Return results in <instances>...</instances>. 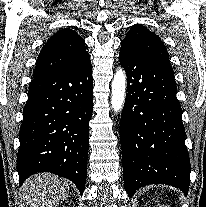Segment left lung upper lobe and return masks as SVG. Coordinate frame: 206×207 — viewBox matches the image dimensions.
Listing matches in <instances>:
<instances>
[{
    "instance_id": "5c2ea615",
    "label": "left lung upper lobe",
    "mask_w": 206,
    "mask_h": 207,
    "mask_svg": "<svg viewBox=\"0 0 206 207\" xmlns=\"http://www.w3.org/2000/svg\"><path fill=\"white\" fill-rule=\"evenodd\" d=\"M121 49L131 51L166 66H170L169 54L161 39L141 24H135L122 41Z\"/></svg>"
}]
</instances>
